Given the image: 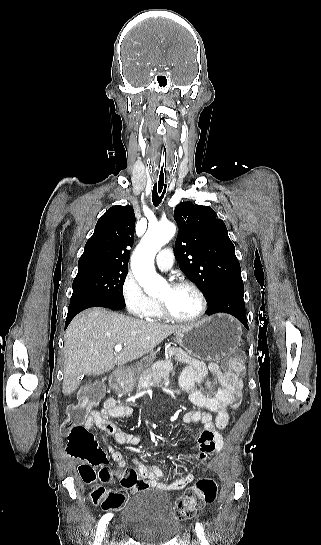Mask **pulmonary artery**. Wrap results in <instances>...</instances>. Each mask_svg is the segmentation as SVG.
I'll return each mask as SVG.
<instances>
[{"label": "pulmonary artery", "instance_id": "1", "mask_svg": "<svg viewBox=\"0 0 321 545\" xmlns=\"http://www.w3.org/2000/svg\"><path fill=\"white\" fill-rule=\"evenodd\" d=\"M173 254L167 249H159L156 256V263L161 270H168L173 266Z\"/></svg>", "mask_w": 321, "mask_h": 545}]
</instances>
